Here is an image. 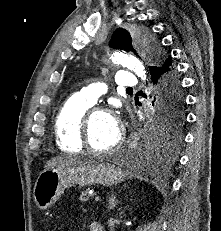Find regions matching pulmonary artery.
Returning <instances> with one entry per match:
<instances>
[{
  "label": "pulmonary artery",
  "mask_w": 221,
  "mask_h": 231,
  "mask_svg": "<svg viewBox=\"0 0 221 231\" xmlns=\"http://www.w3.org/2000/svg\"><path fill=\"white\" fill-rule=\"evenodd\" d=\"M115 84L121 88H133L137 85V80L132 73L120 71L115 75ZM106 92V87L102 83H93L82 88L75 96L94 104Z\"/></svg>",
  "instance_id": "e3ab8cb5"
}]
</instances>
